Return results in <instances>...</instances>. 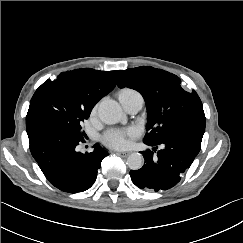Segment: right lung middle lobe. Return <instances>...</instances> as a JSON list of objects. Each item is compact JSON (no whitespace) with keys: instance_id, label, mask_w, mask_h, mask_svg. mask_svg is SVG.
<instances>
[{"instance_id":"1","label":"right lung middle lobe","mask_w":243,"mask_h":243,"mask_svg":"<svg viewBox=\"0 0 243 243\" xmlns=\"http://www.w3.org/2000/svg\"><path fill=\"white\" fill-rule=\"evenodd\" d=\"M91 109L81 106L68 97L49 80L45 81L34 93L26 121L46 119L58 123L77 137H83L81 124L88 119Z\"/></svg>"}]
</instances>
